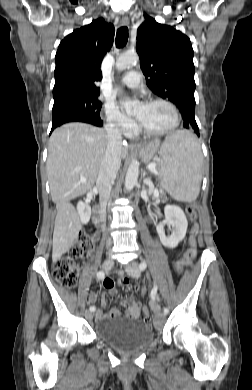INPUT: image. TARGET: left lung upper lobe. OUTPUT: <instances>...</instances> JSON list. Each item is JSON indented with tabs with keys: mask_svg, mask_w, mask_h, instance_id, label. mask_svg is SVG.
<instances>
[{
	"mask_svg": "<svg viewBox=\"0 0 252 390\" xmlns=\"http://www.w3.org/2000/svg\"><path fill=\"white\" fill-rule=\"evenodd\" d=\"M137 30L136 50L146 84L159 97L173 102L182 118H195L193 49L190 39L171 26L144 15Z\"/></svg>",
	"mask_w": 252,
	"mask_h": 390,
	"instance_id": "obj_1",
	"label": "left lung upper lobe"
}]
</instances>
